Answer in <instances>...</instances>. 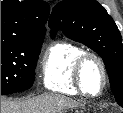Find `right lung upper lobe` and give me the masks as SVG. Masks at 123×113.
I'll return each mask as SVG.
<instances>
[{
	"instance_id": "obj_1",
	"label": "right lung upper lobe",
	"mask_w": 123,
	"mask_h": 113,
	"mask_svg": "<svg viewBox=\"0 0 123 113\" xmlns=\"http://www.w3.org/2000/svg\"><path fill=\"white\" fill-rule=\"evenodd\" d=\"M49 9L43 0L1 1V42L44 38Z\"/></svg>"
}]
</instances>
